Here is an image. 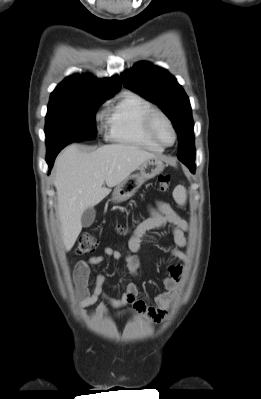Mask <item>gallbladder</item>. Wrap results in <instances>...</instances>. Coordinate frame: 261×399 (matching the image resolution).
I'll list each match as a JSON object with an SVG mask.
<instances>
[{
    "mask_svg": "<svg viewBox=\"0 0 261 399\" xmlns=\"http://www.w3.org/2000/svg\"><path fill=\"white\" fill-rule=\"evenodd\" d=\"M95 213H96L95 209L92 207L87 208L83 212V214L81 216V223H82L83 227L88 228L93 224V222L95 220Z\"/></svg>",
    "mask_w": 261,
    "mask_h": 399,
    "instance_id": "obj_1",
    "label": "gallbladder"
}]
</instances>
